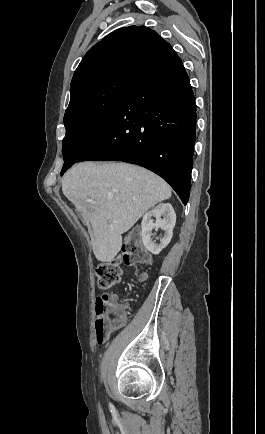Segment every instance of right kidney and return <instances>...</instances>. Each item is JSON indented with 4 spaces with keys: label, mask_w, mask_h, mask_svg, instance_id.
I'll list each match as a JSON object with an SVG mask.
<instances>
[{
    "label": "right kidney",
    "mask_w": 265,
    "mask_h": 434,
    "mask_svg": "<svg viewBox=\"0 0 265 434\" xmlns=\"http://www.w3.org/2000/svg\"><path fill=\"white\" fill-rule=\"evenodd\" d=\"M152 218H156L154 224ZM176 222V214L171 204H158L154 210L147 212L143 216L141 228H142V242L151 254H160L163 248H166L170 244L173 236V228ZM153 228H161L164 230V238L160 240L161 244H155L153 238H151V232Z\"/></svg>",
    "instance_id": "obj_1"
}]
</instances>
